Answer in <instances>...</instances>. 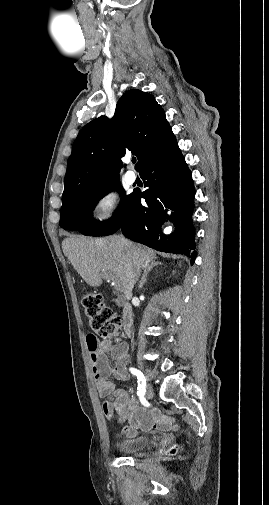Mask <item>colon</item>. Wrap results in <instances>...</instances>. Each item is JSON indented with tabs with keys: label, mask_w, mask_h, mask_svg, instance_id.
<instances>
[{
	"label": "colon",
	"mask_w": 269,
	"mask_h": 505,
	"mask_svg": "<svg viewBox=\"0 0 269 505\" xmlns=\"http://www.w3.org/2000/svg\"><path fill=\"white\" fill-rule=\"evenodd\" d=\"M84 315L92 331L90 336L103 339H117L121 320L116 313L105 306L101 296L95 293H86L82 297ZM175 449L172 450V453Z\"/></svg>",
	"instance_id": "1"
}]
</instances>
